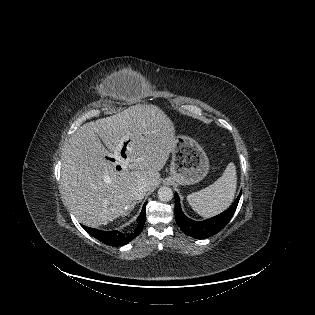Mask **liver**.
I'll use <instances>...</instances> for the list:
<instances>
[{
    "mask_svg": "<svg viewBox=\"0 0 315 315\" xmlns=\"http://www.w3.org/2000/svg\"><path fill=\"white\" fill-rule=\"evenodd\" d=\"M126 142L127 159L123 160L120 151ZM175 145L174 124L156 105L131 106L83 124L69 138L61 158L68 208L79 222L91 227L126 215L143 199L135 196L138 184L146 182L149 190L158 186L159 171ZM119 163L121 171L115 168Z\"/></svg>",
    "mask_w": 315,
    "mask_h": 315,
    "instance_id": "1",
    "label": "liver"
}]
</instances>
